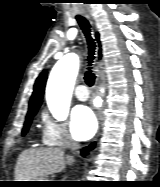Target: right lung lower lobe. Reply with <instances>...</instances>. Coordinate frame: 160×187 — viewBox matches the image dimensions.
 Wrapping results in <instances>:
<instances>
[{
	"label": "right lung lower lobe",
	"mask_w": 160,
	"mask_h": 187,
	"mask_svg": "<svg viewBox=\"0 0 160 187\" xmlns=\"http://www.w3.org/2000/svg\"><path fill=\"white\" fill-rule=\"evenodd\" d=\"M94 146H95V142H93V143H92L90 146H88L87 148L83 149V150L81 151V154H82V155H87V152L90 151V150H92V149L94 148Z\"/></svg>",
	"instance_id": "1"
}]
</instances>
